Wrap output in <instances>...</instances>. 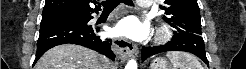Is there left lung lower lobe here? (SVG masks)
Wrapping results in <instances>:
<instances>
[{"label":"left lung lower lobe","instance_id":"obj_1","mask_svg":"<svg viewBox=\"0 0 246 69\" xmlns=\"http://www.w3.org/2000/svg\"><path fill=\"white\" fill-rule=\"evenodd\" d=\"M204 41L200 35L192 33H174V38L167 42L165 45L155 47H143L141 52V58L144 61L149 56L166 52V51H185L190 52L200 59H202L207 65L208 60L204 49Z\"/></svg>","mask_w":246,"mask_h":69}]
</instances>
